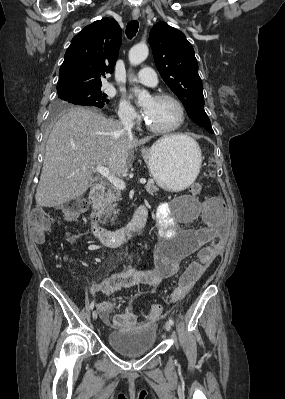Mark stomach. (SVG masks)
I'll return each instance as SVG.
<instances>
[{
    "mask_svg": "<svg viewBox=\"0 0 285 399\" xmlns=\"http://www.w3.org/2000/svg\"><path fill=\"white\" fill-rule=\"evenodd\" d=\"M143 157L156 183L171 192L190 186L198 176L202 163L198 144L185 135L158 140L144 151Z\"/></svg>",
    "mask_w": 285,
    "mask_h": 399,
    "instance_id": "obj_1",
    "label": "stomach"
}]
</instances>
